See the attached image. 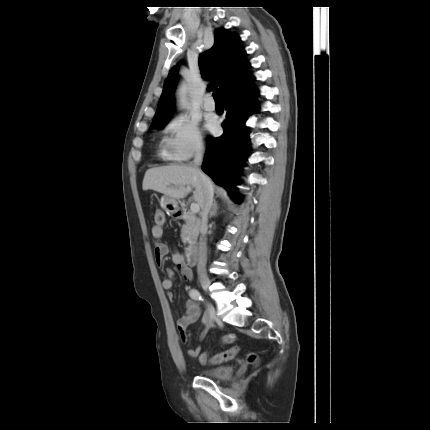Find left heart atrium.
I'll use <instances>...</instances> for the list:
<instances>
[{
    "instance_id": "left-heart-atrium-1",
    "label": "left heart atrium",
    "mask_w": 430,
    "mask_h": 430,
    "mask_svg": "<svg viewBox=\"0 0 430 430\" xmlns=\"http://www.w3.org/2000/svg\"><path fill=\"white\" fill-rule=\"evenodd\" d=\"M215 127H216L215 123H210V124L208 125V128H209L210 130H214V129H215Z\"/></svg>"
}]
</instances>
